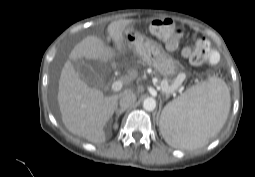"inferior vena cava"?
<instances>
[{
    "label": "inferior vena cava",
    "mask_w": 255,
    "mask_h": 177,
    "mask_svg": "<svg viewBox=\"0 0 255 177\" xmlns=\"http://www.w3.org/2000/svg\"><path fill=\"white\" fill-rule=\"evenodd\" d=\"M136 102V95L134 93H125L120 98V106L122 109H127Z\"/></svg>",
    "instance_id": "1"
}]
</instances>
